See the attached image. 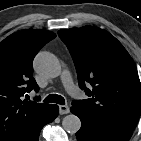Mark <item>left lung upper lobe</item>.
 I'll list each match as a JSON object with an SVG mask.
<instances>
[{
    "label": "left lung upper lobe",
    "mask_w": 141,
    "mask_h": 141,
    "mask_svg": "<svg viewBox=\"0 0 141 141\" xmlns=\"http://www.w3.org/2000/svg\"><path fill=\"white\" fill-rule=\"evenodd\" d=\"M58 34L73 58L79 86L89 96L72 105L111 126L133 131L141 114V83L123 45L93 26L63 29Z\"/></svg>",
    "instance_id": "1"
}]
</instances>
